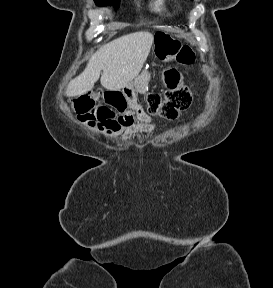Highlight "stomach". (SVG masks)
<instances>
[{
    "mask_svg": "<svg viewBox=\"0 0 273 288\" xmlns=\"http://www.w3.org/2000/svg\"><path fill=\"white\" fill-rule=\"evenodd\" d=\"M175 41L173 37L166 33L156 35L153 49L154 55L164 62L171 60L174 57L173 46ZM149 78L148 72L143 71L134 84L137 86L140 82L148 83Z\"/></svg>",
    "mask_w": 273,
    "mask_h": 288,
    "instance_id": "1",
    "label": "stomach"
}]
</instances>
